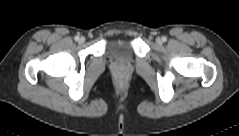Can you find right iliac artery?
Masks as SVG:
<instances>
[{"instance_id": "1", "label": "right iliac artery", "mask_w": 239, "mask_h": 136, "mask_svg": "<svg viewBox=\"0 0 239 136\" xmlns=\"http://www.w3.org/2000/svg\"><path fill=\"white\" fill-rule=\"evenodd\" d=\"M75 40L78 41L79 40V36H75Z\"/></svg>"}]
</instances>
